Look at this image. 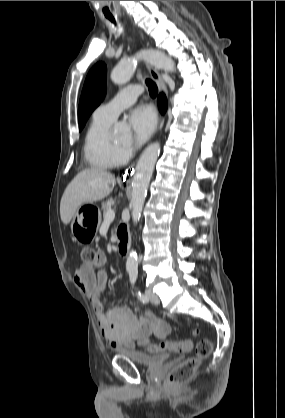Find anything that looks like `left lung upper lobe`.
Masks as SVG:
<instances>
[{
	"label": "left lung upper lobe",
	"instance_id": "left-lung-upper-lobe-1",
	"mask_svg": "<svg viewBox=\"0 0 285 418\" xmlns=\"http://www.w3.org/2000/svg\"><path fill=\"white\" fill-rule=\"evenodd\" d=\"M106 70V65L99 62L87 75L78 107L79 130H82L90 114L105 97Z\"/></svg>",
	"mask_w": 285,
	"mask_h": 418
}]
</instances>
